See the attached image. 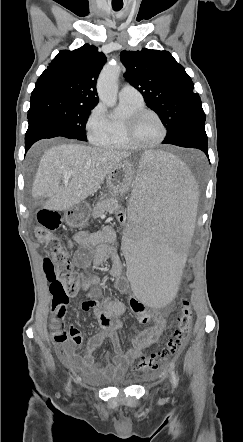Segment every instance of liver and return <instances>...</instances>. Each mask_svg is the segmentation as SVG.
Here are the masks:
<instances>
[{"label":"liver","instance_id":"obj_1","mask_svg":"<svg viewBox=\"0 0 243 442\" xmlns=\"http://www.w3.org/2000/svg\"><path fill=\"white\" fill-rule=\"evenodd\" d=\"M130 153L82 144H60L45 151L38 167L32 196L48 197L44 208L68 210L93 194L110 171ZM73 174L60 184L65 172Z\"/></svg>","mask_w":243,"mask_h":442}]
</instances>
